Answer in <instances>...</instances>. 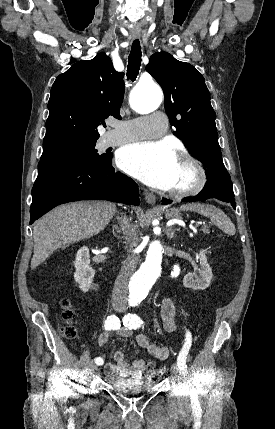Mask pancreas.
<instances>
[{
    "instance_id": "obj_1",
    "label": "pancreas",
    "mask_w": 275,
    "mask_h": 429,
    "mask_svg": "<svg viewBox=\"0 0 275 429\" xmlns=\"http://www.w3.org/2000/svg\"><path fill=\"white\" fill-rule=\"evenodd\" d=\"M202 231H203L204 234H209L210 233V231H209L208 228H203Z\"/></svg>"
}]
</instances>
